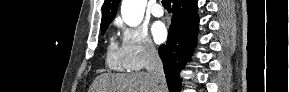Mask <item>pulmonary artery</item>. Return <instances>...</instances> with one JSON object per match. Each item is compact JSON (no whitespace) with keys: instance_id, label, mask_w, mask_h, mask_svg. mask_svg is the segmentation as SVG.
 I'll return each mask as SVG.
<instances>
[{"instance_id":"e3ab8cb5","label":"pulmonary artery","mask_w":289,"mask_h":92,"mask_svg":"<svg viewBox=\"0 0 289 92\" xmlns=\"http://www.w3.org/2000/svg\"><path fill=\"white\" fill-rule=\"evenodd\" d=\"M151 13L155 17H161V16H163L164 11L159 4H154L151 8Z\"/></svg>"}]
</instances>
